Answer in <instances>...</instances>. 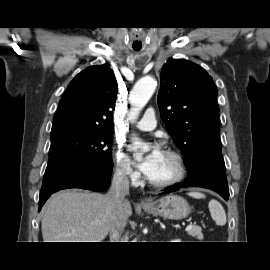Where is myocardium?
Returning <instances> with one entry per match:
<instances>
[{"label": "myocardium", "mask_w": 270, "mask_h": 270, "mask_svg": "<svg viewBox=\"0 0 270 270\" xmlns=\"http://www.w3.org/2000/svg\"><path fill=\"white\" fill-rule=\"evenodd\" d=\"M164 153L166 155L172 157L175 160L176 174L172 178H170L166 181H162V182L153 181L148 177L147 178L148 183L152 187L158 188V189L172 187V186L180 183L186 175V164H185V160H184L183 155L180 152H178L176 150H172V149L166 150Z\"/></svg>", "instance_id": "obj_1"}]
</instances>
